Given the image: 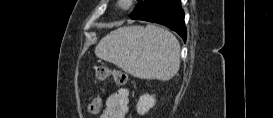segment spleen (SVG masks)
<instances>
[{
  "instance_id": "obj_1",
  "label": "spleen",
  "mask_w": 273,
  "mask_h": 118,
  "mask_svg": "<svg viewBox=\"0 0 273 118\" xmlns=\"http://www.w3.org/2000/svg\"><path fill=\"white\" fill-rule=\"evenodd\" d=\"M95 54L140 79L166 81L180 68L179 41L155 25L118 28L98 43Z\"/></svg>"
}]
</instances>
